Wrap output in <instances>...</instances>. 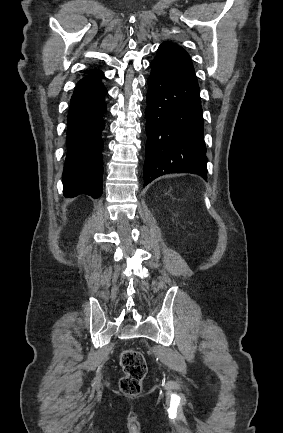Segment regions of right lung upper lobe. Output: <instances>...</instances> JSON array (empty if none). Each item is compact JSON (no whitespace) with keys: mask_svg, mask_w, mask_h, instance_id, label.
Returning a JSON list of instances; mask_svg holds the SVG:
<instances>
[{"mask_svg":"<svg viewBox=\"0 0 283 433\" xmlns=\"http://www.w3.org/2000/svg\"><path fill=\"white\" fill-rule=\"evenodd\" d=\"M102 74L103 73L100 70H93L85 78H92V77L99 76V75H102Z\"/></svg>","mask_w":283,"mask_h":433,"instance_id":"obj_1","label":"right lung upper lobe"}]
</instances>
